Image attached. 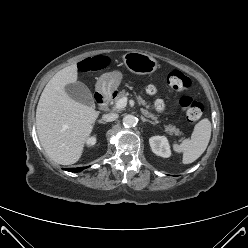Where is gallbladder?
Wrapping results in <instances>:
<instances>
[{"label":"gallbladder","instance_id":"bac80fb5","mask_svg":"<svg viewBox=\"0 0 248 248\" xmlns=\"http://www.w3.org/2000/svg\"><path fill=\"white\" fill-rule=\"evenodd\" d=\"M65 91L73 100L85 104L87 106H93L94 100L92 93L88 87L82 82H75L65 86Z\"/></svg>","mask_w":248,"mask_h":248}]
</instances>
